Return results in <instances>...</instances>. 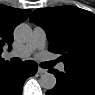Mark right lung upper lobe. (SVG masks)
Listing matches in <instances>:
<instances>
[{"label":"right lung upper lobe","mask_w":95,"mask_h":95,"mask_svg":"<svg viewBox=\"0 0 95 95\" xmlns=\"http://www.w3.org/2000/svg\"><path fill=\"white\" fill-rule=\"evenodd\" d=\"M29 13L30 10L16 9L5 5H0V68L12 64L8 61L5 62L1 58L3 46L8 45L9 48H11L14 28L26 20Z\"/></svg>","instance_id":"cb5924a9"}]
</instances>
